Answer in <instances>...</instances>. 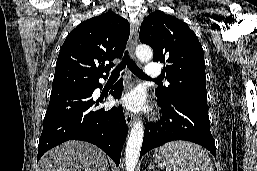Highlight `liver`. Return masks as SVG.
Here are the masks:
<instances>
[{
  "label": "liver",
  "mask_w": 257,
  "mask_h": 171,
  "mask_svg": "<svg viewBox=\"0 0 257 171\" xmlns=\"http://www.w3.org/2000/svg\"><path fill=\"white\" fill-rule=\"evenodd\" d=\"M108 159L98 147L81 141H67L45 153L38 171H106Z\"/></svg>",
  "instance_id": "6515ba94"
}]
</instances>
